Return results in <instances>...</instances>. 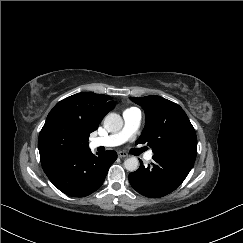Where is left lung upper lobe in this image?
Wrapping results in <instances>:
<instances>
[{"label": "left lung upper lobe", "mask_w": 243, "mask_h": 243, "mask_svg": "<svg viewBox=\"0 0 243 243\" xmlns=\"http://www.w3.org/2000/svg\"><path fill=\"white\" fill-rule=\"evenodd\" d=\"M145 111L146 124L136 144H146L153 153L171 148L196 146L195 130L176 103L160 96L130 97Z\"/></svg>", "instance_id": "5c2ea615"}]
</instances>
